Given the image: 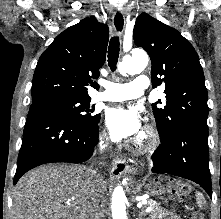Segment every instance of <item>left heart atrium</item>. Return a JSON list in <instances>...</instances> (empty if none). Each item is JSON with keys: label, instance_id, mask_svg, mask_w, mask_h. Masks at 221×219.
<instances>
[{"label": "left heart atrium", "instance_id": "left-heart-atrium-1", "mask_svg": "<svg viewBox=\"0 0 221 219\" xmlns=\"http://www.w3.org/2000/svg\"><path fill=\"white\" fill-rule=\"evenodd\" d=\"M106 125L113 140L135 138L141 131L138 113L122 106L111 108L106 114Z\"/></svg>", "mask_w": 221, "mask_h": 219}]
</instances>
